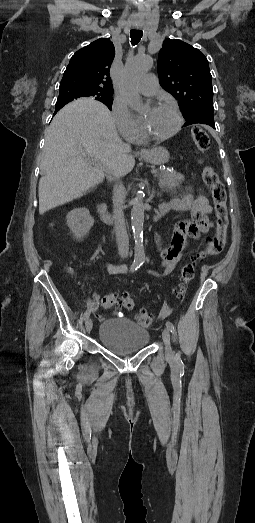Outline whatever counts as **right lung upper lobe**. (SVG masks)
<instances>
[{"mask_svg":"<svg viewBox=\"0 0 255 523\" xmlns=\"http://www.w3.org/2000/svg\"><path fill=\"white\" fill-rule=\"evenodd\" d=\"M115 47L109 38H100L78 50L64 72L59 91L112 95L110 66ZM66 102H56L54 115Z\"/></svg>","mask_w":255,"mask_h":523,"instance_id":"1","label":"right lung upper lobe"}]
</instances>
